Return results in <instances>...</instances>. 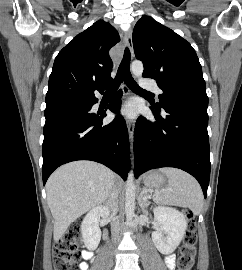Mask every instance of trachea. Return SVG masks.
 Masks as SVG:
<instances>
[{"mask_svg":"<svg viewBox=\"0 0 242 270\" xmlns=\"http://www.w3.org/2000/svg\"><path fill=\"white\" fill-rule=\"evenodd\" d=\"M130 60H131L130 51L128 48H126L115 79L109 84L105 85L106 92H115L124 80L126 85L132 91L151 94L150 92H147L146 90L140 88L139 85L133 79L130 73Z\"/></svg>","mask_w":242,"mask_h":270,"instance_id":"obj_1","label":"trachea"}]
</instances>
